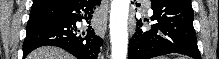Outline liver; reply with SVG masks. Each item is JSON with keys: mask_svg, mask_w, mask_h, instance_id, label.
<instances>
[{"mask_svg": "<svg viewBox=\"0 0 219 59\" xmlns=\"http://www.w3.org/2000/svg\"><path fill=\"white\" fill-rule=\"evenodd\" d=\"M26 59H74V57L60 48L44 46L32 51Z\"/></svg>", "mask_w": 219, "mask_h": 59, "instance_id": "obj_1", "label": "liver"}]
</instances>
